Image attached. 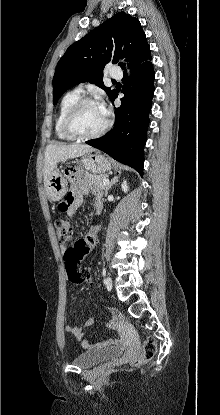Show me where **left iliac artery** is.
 <instances>
[{"label": "left iliac artery", "mask_w": 220, "mask_h": 415, "mask_svg": "<svg viewBox=\"0 0 220 415\" xmlns=\"http://www.w3.org/2000/svg\"><path fill=\"white\" fill-rule=\"evenodd\" d=\"M105 274H106V270L104 268L103 271H102V275L105 276Z\"/></svg>", "instance_id": "left-iliac-artery-1"}]
</instances>
